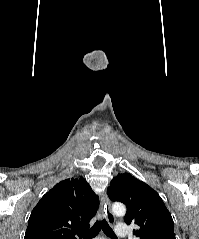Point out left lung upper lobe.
Here are the masks:
<instances>
[{
  "mask_svg": "<svg viewBox=\"0 0 199 239\" xmlns=\"http://www.w3.org/2000/svg\"><path fill=\"white\" fill-rule=\"evenodd\" d=\"M112 201L127 206L126 224L138 225L133 234L140 239H176L173 219L159 194L129 173L118 174L107 190Z\"/></svg>",
  "mask_w": 199,
  "mask_h": 239,
  "instance_id": "5c2ea615",
  "label": "left lung upper lobe"
}]
</instances>
